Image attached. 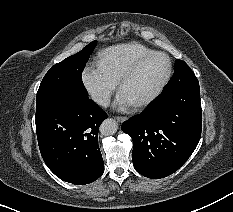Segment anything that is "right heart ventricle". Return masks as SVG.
<instances>
[{
	"instance_id": "right-heart-ventricle-1",
	"label": "right heart ventricle",
	"mask_w": 233,
	"mask_h": 212,
	"mask_svg": "<svg viewBox=\"0 0 233 212\" xmlns=\"http://www.w3.org/2000/svg\"><path fill=\"white\" fill-rule=\"evenodd\" d=\"M152 51L139 43L119 44L101 51L98 55V64L113 80L119 82L136 60Z\"/></svg>"
}]
</instances>
